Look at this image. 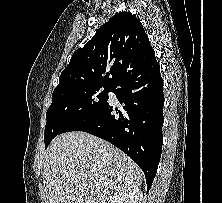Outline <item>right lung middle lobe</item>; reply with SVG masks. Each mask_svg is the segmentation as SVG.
<instances>
[{
    "mask_svg": "<svg viewBox=\"0 0 222 203\" xmlns=\"http://www.w3.org/2000/svg\"><path fill=\"white\" fill-rule=\"evenodd\" d=\"M111 86L84 85L55 91L47 110L45 147L72 123L92 113L108 100Z\"/></svg>",
    "mask_w": 222,
    "mask_h": 203,
    "instance_id": "1",
    "label": "right lung middle lobe"
}]
</instances>
